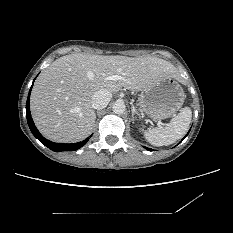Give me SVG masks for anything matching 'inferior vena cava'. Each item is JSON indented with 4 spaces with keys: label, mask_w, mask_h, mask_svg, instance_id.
Segmentation results:
<instances>
[{
    "label": "inferior vena cava",
    "mask_w": 233,
    "mask_h": 233,
    "mask_svg": "<svg viewBox=\"0 0 233 233\" xmlns=\"http://www.w3.org/2000/svg\"><path fill=\"white\" fill-rule=\"evenodd\" d=\"M111 98H112V94L108 90H104V89L98 90L92 96V100H91L92 107L94 109H103L108 105Z\"/></svg>",
    "instance_id": "1"
}]
</instances>
